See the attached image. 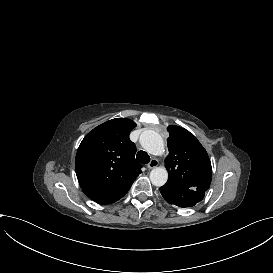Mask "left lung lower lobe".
<instances>
[{
  "instance_id": "obj_1",
  "label": "left lung lower lobe",
  "mask_w": 273,
  "mask_h": 273,
  "mask_svg": "<svg viewBox=\"0 0 273 273\" xmlns=\"http://www.w3.org/2000/svg\"><path fill=\"white\" fill-rule=\"evenodd\" d=\"M160 193L168 203L179 207H192L200 202L205 195V192L167 186H162Z\"/></svg>"
}]
</instances>
